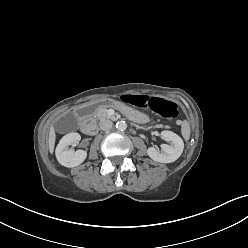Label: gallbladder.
<instances>
[{"label": "gallbladder", "instance_id": "bac80fb5", "mask_svg": "<svg viewBox=\"0 0 248 248\" xmlns=\"http://www.w3.org/2000/svg\"><path fill=\"white\" fill-rule=\"evenodd\" d=\"M76 118L74 116H72L69 120V122H67V120H62L57 124V130L58 131H63V130H69V129H73L76 127Z\"/></svg>", "mask_w": 248, "mask_h": 248}]
</instances>
